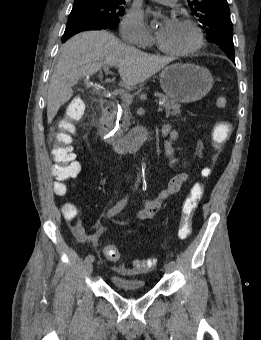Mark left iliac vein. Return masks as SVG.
<instances>
[{
    "instance_id": "1",
    "label": "left iliac vein",
    "mask_w": 261,
    "mask_h": 340,
    "mask_svg": "<svg viewBox=\"0 0 261 340\" xmlns=\"http://www.w3.org/2000/svg\"><path fill=\"white\" fill-rule=\"evenodd\" d=\"M164 270L168 273L172 272L174 270V266L170 265V264H165L164 265Z\"/></svg>"
}]
</instances>
